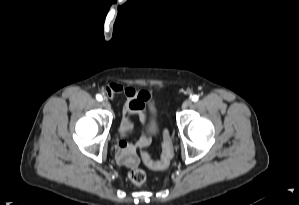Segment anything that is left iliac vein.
<instances>
[{
    "mask_svg": "<svg viewBox=\"0 0 299 205\" xmlns=\"http://www.w3.org/2000/svg\"><path fill=\"white\" fill-rule=\"evenodd\" d=\"M191 104H192V100H191V99H187V100H185V101L183 102V104H182V108H183V109H186V108H188L189 106H191Z\"/></svg>",
    "mask_w": 299,
    "mask_h": 205,
    "instance_id": "obj_1",
    "label": "left iliac vein"
}]
</instances>
